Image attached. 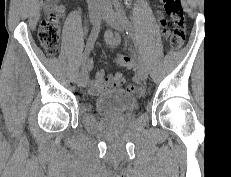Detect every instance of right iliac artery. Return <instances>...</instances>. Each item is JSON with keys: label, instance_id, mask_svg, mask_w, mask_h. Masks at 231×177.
Segmentation results:
<instances>
[{"label": "right iliac artery", "instance_id": "82829eb1", "mask_svg": "<svg viewBox=\"0 0 231 177\" xmlns=\"http://www.w3.org/2000/svg\"><path fill=\"white\" fill-rule=\"evenodd\" d=\"M100 24H101L100 21L97 22L91 30L90 36H89L88 41H87L86 49L84 51V54H83V57L81 60L82 68L87 66L88 56H89L91 50L93 49L94 42L96 41L98 34H99V31H100Z\"/></svg>", "mask_w": 231, "mask_h": 177}]
</instances>
